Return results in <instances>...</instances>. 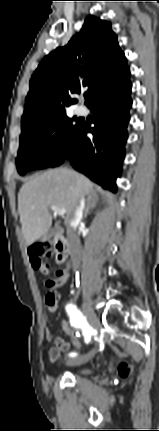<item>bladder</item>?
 Instances as JSON below:
<instances>
[{
  "mask_svg": "<svg viewBox=\"0 0 159 431\" xmlns=\"http://www.w3.org/2000/svg\"><path fill=\"white\" fill-rule=\"evenodd\" d=\"M90 373H91V370L88 369V368H79L77 370V374H79V375H87V374H90Z\"/></svg>",
  "mask_w": 159,
  "mask_h": 431,
  "instance_id": "1",
  "label": "bladder"
}]
</instances>
